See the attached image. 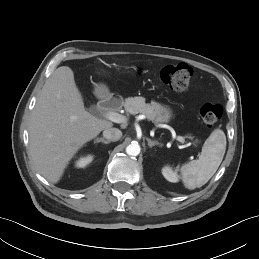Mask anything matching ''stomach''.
I'll use <instances>...</instances> for the list:
<instances>
[{
	"mask_svg": "<svg viewBox=\"0 0 259 259\" xmlns=\"http://www.w3.org/2000/svg\"><path fill=\"white\" fill-rule=\"evenodd\" d=\"M96 90L99 95H105L107 93V88L104 85H99ZM157 116L161 117L163 122H168L174 117V114L170 107L160 105V110L157 113Z\"/></svg>",
	"mask_w": 259,
	"mask_h": 259,
	"instance_id": "obj_1",
	"label": "stomach"
}]
</instances>
